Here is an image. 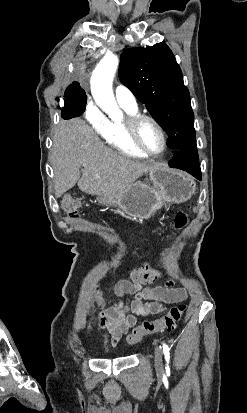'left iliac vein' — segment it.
<instances>
[{
  "instance_id": "left-iliac-vein-1",
  "label": "left iliac vein",
  "mask_w": 247,
  "mask_h": 413,
  "mask_svg": "<svg viewBox=\"0 0 247 413\" xmlns=\"http://www.w3.org/2000/svg\"><path fill=\"white\" fill-rule=\"evenodd\" d=\"M154 366L159 375L163 373V353L159 346L155 347Z\"/></svg>"
}]
</instances>
